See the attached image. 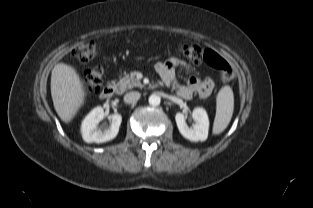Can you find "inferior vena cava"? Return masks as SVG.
Wrapping results in <instances>:
<instances>
[{
	"label": "inferior vena cava",
	"mask_w": 313,
	"mask_h": 208,
	"mask_svg": "<svg viewBox=\"0 0 313 208\" xmlns=\"http://www.w3.org/2000/svg\"><path fill=\"white\" fill-rule=\"evenodd\" d=\"M140 97L141 94L139 92L132 91L124 95V102L133 104L136 103L140 99Z\"/></svg>",
	"instance_id": "inferior-vena-cava-1"
}]
</instances>
